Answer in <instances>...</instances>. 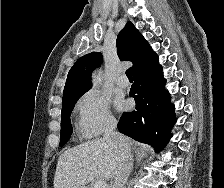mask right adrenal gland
Here are the masks:
<instances>
[{"label":"right adrenal gland","instance_id":"right-adrenal-gland-1","mask_svg":"<svg viewBox=\"0 0 224 188\" xmlns=\"http://www.w3.org/2000/svg\"><path fill=\"white\" fill-rule=\"evenodd\" d=\"M145 156H146L145 154H137L136 155L137 165H139L142 162V160Z\"/></svg>","mask_w":224,"mask_h":188}]
</instances>
